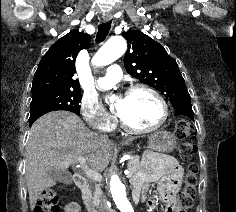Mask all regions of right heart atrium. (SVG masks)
I'll return each instance as SVG.
<instances>
[{
	"label": "right heart atrium",
	"mask_w": 236,
	"mask_h": 212,
	"mask_svg": "<svg viewBox=\"0 0 236 212\" xmlns=\"http://www.w3.org/2000/svg\"><path fill=\"white\" fill-rule=\"evenodd\" d=\"M80 111L85 122L96 130H110L114 125L113 117L106 113L95 96H83L80 103Z\"/></svg>",
	"instance_id": "obj_1"
}]
</instances>
